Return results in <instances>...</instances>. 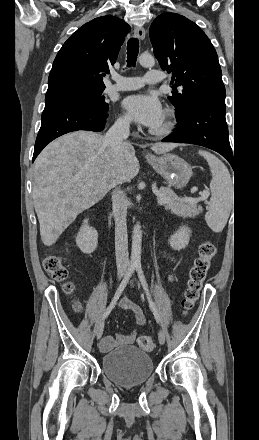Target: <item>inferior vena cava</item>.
<instances>
[{"label":"inferior vena cava","mask_w":259,"mask_h":440,"mask_svg":"<svg viewBox=\"0 0 259 440\" xmlns=\"http://www.w3.org/2000/svg\"><path fill=\"white\" fill-rule=\"evenodd\" d=\"M130 121L118 119L105 135V141L116 152H121L128 144ZM122 183H114L112 193V206L115 219V252L117 270L125 271L129 266L128 238H127V200L123 191L117 186Z\"/></svg>","instance_id":"1"}]
</instances>
